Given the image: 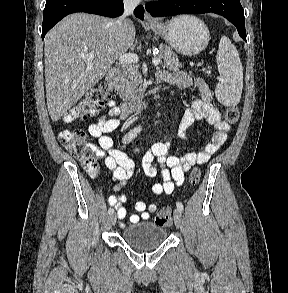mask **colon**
Instances as JSON below:
<instances>
[{
	"label": "colon",
	"mask_w": 288,
	"mask_h": 293,
	"mask_svg": "<svg viewBox=\"0 0 288 293\" xmlns=\"http://www.w3.org/2000/svg\"><path fill=\"white\" fill-rule=\"evenodd\" d=\"M110 95L104 83H99L91 88L84 97L64 115L63 121L73 123L86 119L95 114L108 101ZM225 120L229 124H235L239 120L240 112L237 107H228L224 113ZM58 140L62 146L75 157L83 169L91 176L98 172V162L95 158L92 145L87 141L86 133L81 128L61 129L58 132ZM201 172L194 168L189 175V184L195 187L199 184ZM172 221V213L169 208L160 210L155 217L158 225L167 226Z\"/></svg>",
	"instance_id": "5ec220e1"
}]
</instances>
